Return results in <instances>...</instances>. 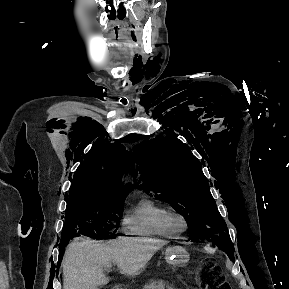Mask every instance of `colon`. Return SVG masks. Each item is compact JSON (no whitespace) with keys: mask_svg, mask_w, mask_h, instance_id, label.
Returning a JSON list of instances; mask_svg holds the SVG:
<instances>
[{"mask_svg":"<svg viewBox=\"0 0 289 289\" xmlns=\"http://www.w3.org/2000/svg\"><path fill=\"white\" fill-rule=\"evenodd\" d=\"M198 280L203 289H231L230 284L220 278L213 265H206L199 271Z\"/></svg>","mask_w":289,"mask_h":289,"instance_id":"obj_1","label":"colon"}]
</instances>
